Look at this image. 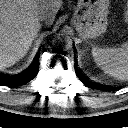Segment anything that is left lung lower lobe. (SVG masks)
<instances>
[{"label": "left lung lower lobe", "instance_id": "left-lung-lower-lobe-1", "mask_svg": "<svg viewBox=\"0 0 128 128\" xmlns=\"http://www.w3.org/2000/svg\"><path fill=\"white\" fill-rule=\"evenodd\" d=\"M75 72L78 78L89 88L100 89V90H110L109 88L95 85L87 80V78L78 70L76 60H75Z\"/></svg>", "mask_w": 128, "mask_h": 128}]
</instances>
